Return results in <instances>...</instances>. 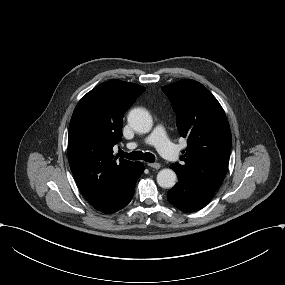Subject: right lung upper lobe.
<instances>
[{"label": "right lung upper lobe", "mask_w": 285, "mask_h": 285, "mask_svg": "<svg viewBox=\"0 0 285 285\" xmlns=\"http://www.w3.org/2000/svg\"><path fill=\"white\" fill-rule=\"evenodd\" d=\"M145 87L121 80L100 84L77 104L69 126L68 159L77 185L90 204L110 206L138 162L116 161L125 110Z\"/></svg>", "instance_id": "cb5924a9"}]
</instances>
